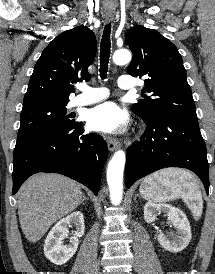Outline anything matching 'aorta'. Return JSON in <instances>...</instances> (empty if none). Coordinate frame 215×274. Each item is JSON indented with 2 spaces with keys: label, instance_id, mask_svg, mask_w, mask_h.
I'll return each instance as SVG.
<instances>
[{
  "label": "aorta",
  "instance_id": "obj_1",
  "mask_svg": "<svg viewBox=\"0 0 215 274\" xmlns=\"http://www.w3.org/2000/svg\"><path fill=\"white\" fill-rule=\"evenodd\" d=\"M117 65H125L131 61V53L127 49H119L113 55ZM125 166V153L122 150L115 152L108 164L107 182L110 190L112 204L118 205L123 194V171Z\"/></svg>",
  "mask_w": 215,
  "mask_h": 274
}]
</instances>
